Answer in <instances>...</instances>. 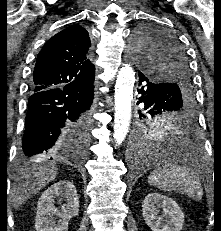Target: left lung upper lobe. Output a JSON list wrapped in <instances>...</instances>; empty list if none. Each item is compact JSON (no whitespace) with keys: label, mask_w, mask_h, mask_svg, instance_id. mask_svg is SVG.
Segmentation results:
<instances>
[{"label":"left lung upper lobe","mask_w":221,"mask_h":231,"mask_svg":"<svg viewBox=\"0 0 221 231\" xmlns=\"http://www.w3.org/2000/svg\"><path fill=\"white\" fill-rule=\"evenodd\" d=\"M134 46L138 65L161 81L157 84L167 87L157 98L144 102L147 114L151 117L189 114L194 92L187 54L179 40L164 28L143 24L136 30Z\"/></svg>","instance_id":"5c2ea615"}]
</instances>
